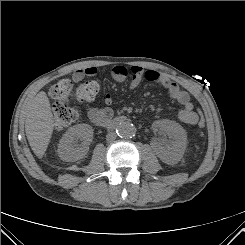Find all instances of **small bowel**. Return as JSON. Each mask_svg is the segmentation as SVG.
I'll return each instance as SVG.
<instances>
[{
    "label": "small bowel",
    "instance_id": "1",
    "mask_svg": "<svg viewBox=\"0 0 245 245\" xmlns=\"http://www.w3.org/2000/svg\"><path fill=\"white\" fill-rule=\"evenodd\" d=\"M97 73L96 67H87L77 70L73 73L72 78L75 82H80L86 76H93ZM113 79L117 82H124L129 78V88L135 89L143 80L162 85L169 92L172 99L177 101L182 109L178 112V118L181 122L189 125L197 124L199 115L194 111V105L191 102L190 95L180 86L155 70H145L140 66H132L127 69L124 66H114L111 70ZM114 99L107 94L104 98L105 106H92L88 109V118L96 125H100L102 121L110 120L113 116L112 104Z\"/></svg>",
    "mask_w": 245,
    "mask_h": 245
}]
</instances>
